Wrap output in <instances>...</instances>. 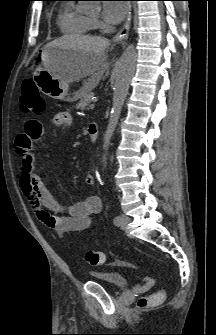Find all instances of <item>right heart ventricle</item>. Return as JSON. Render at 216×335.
Segmentation results:
<instances>
[{"mask_svg":"<svg viewBox=\"0 0 216 335\" xmlns=\"http://www.w3.org/2000/svg\"><path fill=\"white\" fill-rule=\"evenodd\" d=\"M57 25L61 33L66 35H85L95 28L93 20L85 13L79 11L73 3L61 6Z\"/></svg>","mask_w":216,"mask_h":335,"instance_id":"right-heart-ventricle-1","label":"right heart ventricle"}]
</instances>
